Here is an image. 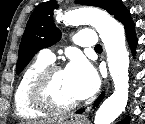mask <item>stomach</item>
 <instances>
[{"instance_id": "stomach-1", "label": "stomach", "mask_w": 145, "mask_h": 124, "mask_svg": "<svg viewBox=\"0 0 145 124\" xmlns=\"http://www.w3.org/2000/svg\"><path fill=\"white\" fill-rule=\"evenodd\" d=\"M63 124H84L82 121L80 120H71V121H65Z\"/></svg>"}]
</instances>
